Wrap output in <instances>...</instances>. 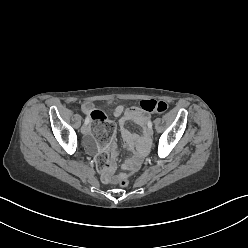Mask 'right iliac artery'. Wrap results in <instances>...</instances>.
Listing matches in <instances>:
<instances>
[{
  "label": "right iliac artery",
  "mask_w": 248,
  "mask_h": 248,
  "mask_svg": "<svg viewBox=\"0 0 248 248\" xmlns=\"http://www.w3.org/2000/svg\"><path fill=\"white\" fill-rule=\"evenodd\" d=\"M90 122V118L86 117L84 124H88Z\"/></svg>",
  "instance_id": "right-iliac-artery-1"
}]
</instances>
